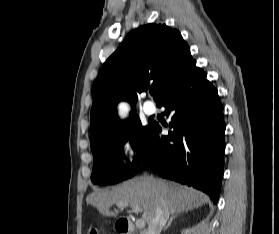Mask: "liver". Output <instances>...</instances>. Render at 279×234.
<instances>
[{
  "mask_svg": "<svg viewBox=\"0 0 279 234\" xmlns=\"http://www.w3.org/2000/svg\"><path fill=\"white\" fill-rule=\"evenodd\" d=\"M162 199L168 205L171 214L198 208L209 200L205 194L192 188L150 176L134 177L111 191L93 192L86 198V202L106 217L118 215L117 211H110L114 204L138 205L142 208L143 220L149 224Z\"/></svg>",
  "mask_w": 279,
  "mask_h": 234,
  "instance_id": "liver-1",
  "label": "liver"
}]
</instances>
